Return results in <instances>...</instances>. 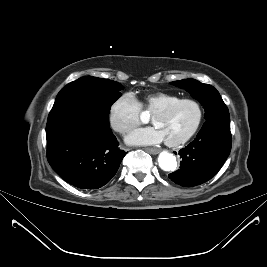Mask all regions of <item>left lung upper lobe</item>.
Here are the masks:
<instances>
[{
  "instance_id": "left-lung-upper-lobe-1",
  "label": "left lung upper lobe",
  "mask_w": 267,
  "mask_h": 267,
  "mask_svg": "<svg viewBox=\"0 0 267 267\" xmlns=\"http://www.w3.org/2000/svg\"><path fill=\"white\" fill-rule=\"evenodd\" d=\"M171 84L188 91L205 108V119L229 117V111L219 92L211 85L203 84L195 79H184Z\"/></svg>"
}]
</instances>
